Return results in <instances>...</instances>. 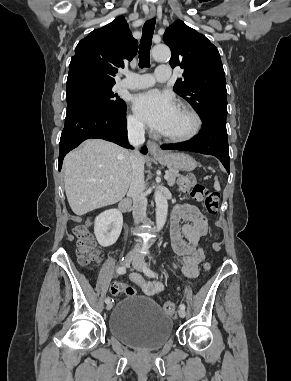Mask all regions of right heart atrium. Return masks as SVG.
Returning a JSON list of instances; mask_svg holds the SVG:
<instances>
[{"mask_svg": "<svg viewBox=\"0 0 291 381\" xmlns=\"http://www.w3.org/2000/svg\"><path fill=\"white\" fill-rule=\"evenodd\" d=\"M127 124H128V127L133 131L140 132L144 130V124L142 120L135 114H130L127 117Z\"/></svg>", "mask_w": 291, "mask_h": 381, "instance_id": "obj_1", "label": "right heart atrium"}]
</instances>
